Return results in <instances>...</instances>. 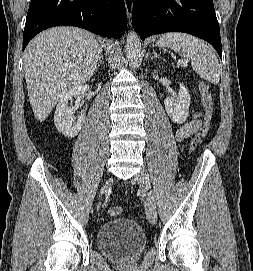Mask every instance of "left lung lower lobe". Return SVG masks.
<instances>
[{"label":"left lung lower lobe","mask_w":253,"mask_h":271,"mask_svg":"<svg viewBox=\"0 0 253 271\" xmlns=\"http://www.w3.org/2000/svg\"><path fill=\"white\" fill-rule=\"evenodd\" d=\"M132 24L142 40L154 34L185 32L208 41L221 57L213 0H136Z\"/></svg>","instance_id":"left-lung-lower-lobe-1"}]
</instances>
